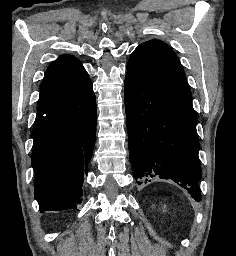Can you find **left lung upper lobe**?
<instances>
[{
    "mask_svg": "<svg viewBox=\"0 0 236 256\" xmlns=\"http://www.w3.org/2000/svg\"><path fill=\"white\" fill-rule=\"evenodd\" d=\"M127 70L129 73L192 102L181 63L175 52L162 41L150 40L140 44L131 54Z\"/></svg>",
    "mask_w": 236,
    "mask_h": 256,
    "instance_id": "left-lung-upper-lobe-1",
    "label": "left lung upper lobe"
}]
</instances>
